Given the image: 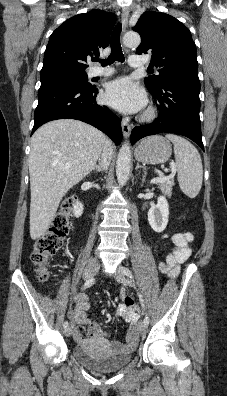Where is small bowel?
Here are the masks:
<instances>
[{"label": "small bowel", "mask_w": 227, "mask_h": 396, "mask_svg": "<svg viewBox=\"0 0 227 396\" xmlns=\"http://www.w3.org/2000/svg\"><path fill=\"white\" fill-rule=\"evenodd\" d=\"M164 238L170 237L174 244V248L167 254L165 261L160 264V269L166 272L171 278L178 276L180 265L185 262L190 254V244L193 236L190 232H179L172 235H164ZM123 303L118 306L117 314L130 324L126 340L124 343L110 341L107 333L97 324L91 322L86 312L90 309V303L87 295L83 293L75 294L73 299L75 306L70 312V316L77 323L74 332V338L78 343L93 342L98 344H111L115 348L133 347L138 341L137 324L139 315L136 312V307H129L125 304V299L128 297L121 293Z\"/></svg>", "instance_id": "small-bowel-1"}]
</instances>
